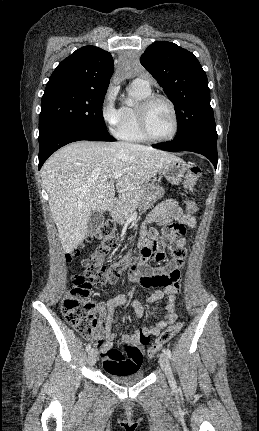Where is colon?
I'll return each instance as SVG.
<instances>
[{
  "instance_id": "1",
  "label": "colon",
  "mask_w": 259,
  "mask_h": 431,
  "mask_svg": "<svg viewBox=\"0 0 259 431\" xmlns=\"http://www.w3.org/2000/svg\"><path fill=\"white\" fill-rule=\"evenodd\" d=\"M200 176L201 170L199 166L191 165L185 178V188L192 191ZM186 209L191 217L197 215V206L194 201H187ZM185 233L186 228L183 223L168 224L163 230V237L144 243L140 247L136 257H132L130 253H127L119 261L107 265L105 264V260L117 246L116 227L112 222H107L101 226L93 235V238L99 241V245L83 261L84 275L74 273L72 285L66 291L61 302V311L67 322L84 337H93L94 339L100 322L96 316V303L90 300L92 285H104L116 282L127 267H129L130 271L135 267L142 268L147 265L149 260L155 262L164 260L167 250L172 251L173 249V247H170V241L181 238ZM78 253V250H74L72 253L67 254V261L70 262ZM182 326V322H177L165 328L149 347L148 357L153 358L158 350L181 330ZM149 340L150 335L147 332H141V344L146 345L149 343ZM121 350L132 357L138 356V349L132 345L123 343ZM135 370L134 366L128 364L120 372Z\"/></svg>"
}]
</instances>
